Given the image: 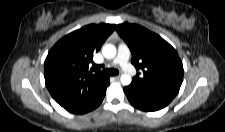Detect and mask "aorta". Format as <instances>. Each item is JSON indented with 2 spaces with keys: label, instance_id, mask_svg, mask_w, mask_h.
<instances>
[{
  "label": "aorta",
  "instance_id": "1",
  "mask_svg": "<svg viewBox=\"0 0 225 132\" xmlns=\"http://www.w3.org/2000/svg\"><path fill=\"white\" fill-rule=\"evenodd\" d=\"M117 50L113 44H105L102 47V54L106 59H113L116 56ZM121 84L127 86L131 83L132 78L129 74H122L120 77Z\"/></svg>",
  "mask_w": 225,
  "mask_h": 132
}]
</instances>
